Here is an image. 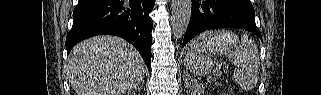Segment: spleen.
<instances>
[{
	"instance_id": "1",
	"label": "spleen",
	"mask_w": 321,
	"mask_h": 95,
	"mask_svg": "<svg viewBox=\"0 0 321 95\" xmlns=\"http://www.w3.org/2000/svg\"><path fill=\"white\" fill-rule=\"evenodd\" d=\"M230 34L226 32H207L198 36L194 41V47L204 45L200 52H190L186 55L185 66L194 74L205 75L212 71L213 61L207 56L212 53L208 48L217 42L224 41ZM228 58L235 65L233 80L244 90L253 89L259 77L260 58L256 43L247 35L241 36V43L230 51ZM213 73L217 76L220 71L215 69Z\"/></svg>"
}]
</instances>
